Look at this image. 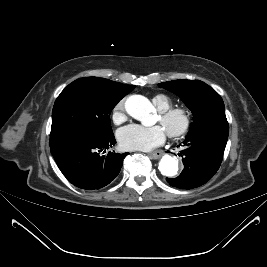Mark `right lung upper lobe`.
Returning a JSON list of instances; mask_svg holds the SVG:
<instances>
[{"instance_id":"right-lung-upper-lobe-1","label":"right lung upper lobe","mask_w":267,"mask_h":267,"mask_svg":"<svg viewBox=\"0 0 267 267\" xmlns=\"http://www.w3.org/2000/svg\"><path fill=\"white\" fill-rule=\"evenodd\" d=\"M103 79V78H102ZM104 80H106V81H109V82H114V81H111V80H107V79H104Z\"/></svg>"}]
</instances>
